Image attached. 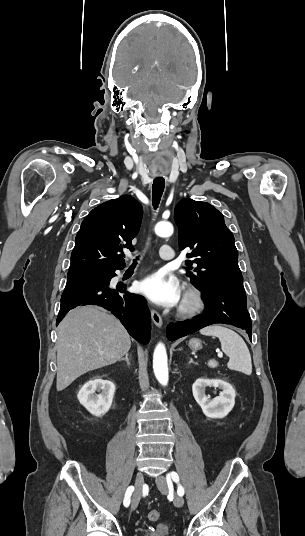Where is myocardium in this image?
Segmentation results:
<instances>
[{"instance_id": "obj_1", "label": "myocardium", "mask_w": 305, "mask_h": 536, "mask_svg": "<svg viewBox=\"0 0 305 536\" xmlns=\"http://www.w3.org/2000/svg\"><path fill=\"white\" fill-rule=\"evenodd\" d=\"M205 307V293L199 287L189 285L184 291L183 299L177 313L181 317H191L200 313Z\"/></svg>"}]
</instances>
